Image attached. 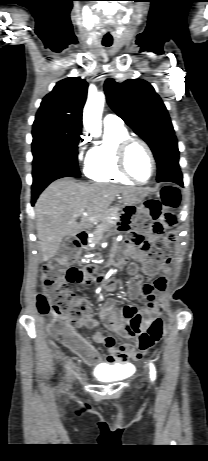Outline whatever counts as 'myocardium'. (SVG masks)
<instances>
[{
	"instance_id": "f54148a6",
	"label": "myocardium",
	"mask_w": 208,
	"mask_h": 461,
	"mask_svg": "<svg viewBox=\"0 0 208 461\" xmlns=\"http://www.w3.org/2000/svg\"><path fill=\"white\" fill-rule=\"evenodd\" d=\"M135 144L141 145L146 150V152H147V154L149 156V159L151 161V174H150L149 178L147 180H145V181L138 180L131 173V171L129 170V167H128V163H127L128 153H129V150L131 149V147L133 145H135ZM116 161H117V166H118L119 170L121 171V173L124 174L129 179H131L132 181L138 183V184H146V183L150 182L152 180V178L154 177V175L156 173V169H157L156 160H155V157H154L152 149L150 148V146L148 145V143L146 141H144L143 139L138 138V137L129 136V137L123 139L118 144L117 149H116Z\"/></svg>"
}]
</instances>
